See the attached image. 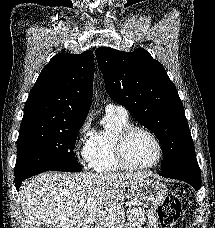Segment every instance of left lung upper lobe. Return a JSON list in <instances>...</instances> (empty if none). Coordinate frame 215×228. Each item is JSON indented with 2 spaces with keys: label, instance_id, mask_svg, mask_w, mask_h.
<instances>
[{
  "label": "left lung upper lobe",
  "instance_id": "5c2ea615",
  "mask_svg": "<svg viewBox=\"0 0 215 228\" xmlns=\"http://www.w3.org/2000/svg\"><path fill=\"white\" fill-rule=\"evenodd\" d=\"M95 54L110 98L158 138L161 172L196 158L183 104L162 64L143 48L99 47Z\"/></svg>",
  "mask_w": 215,
  "mask_h": 228
}]
</instances>
